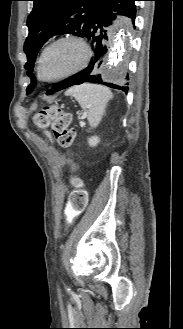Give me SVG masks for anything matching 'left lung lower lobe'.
Segmentation results:
<instances>
[{
  "mask_svg": "<svg viewBox=\"0 0 183 329\" xmlns=\"http://www.w3.org/2000/svg\"><path fill=\"white\" fill-rule=\"evenodd\" d=\"M135 1L138 0H109L98 10L85 36L91 42L93 50V56L89 66L61 81L54 88L50 89L47 94L83 83L105 84L111 88L122 90L125 93L128 92L127 84L103 82L101 75L94 72V68L102 63L107 52V27L111 25V21L116 18V15H124L131 18L134 24L136 14Z\"/></svg>",
  "mask_w": 183,
  "mask_h": 329,
  "instance_id": "left-lung-lower-lobe-1",
  "label": "left lung lower lobe"
}]
</instances>
